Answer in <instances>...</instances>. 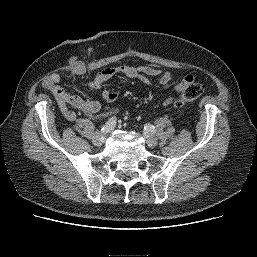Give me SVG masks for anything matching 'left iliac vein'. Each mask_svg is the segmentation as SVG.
I'll list each match as a JSON object with an SVG mask.
<instances>
[{
    "instance_id": "left-iliac-vein-1",
    "label": "left iliac vein",
    "mask_w": 257,
    "mask_h": 257,
    "mask_svg": "<svg viewBox=\"0 0 257 257\" xmlns=\"http://www.w3.org/2000/svg\"><path fill=\"white\" fill-rule=\"evenodd\" d=\"M143 137H144V139H145V141H146V144H147L149 147H151V148H154V147L157 145V143H158L157 139H156L153 135H151L150 133H148V132H145V133L143 134Z\"/></svg>"
}]
</instances>
